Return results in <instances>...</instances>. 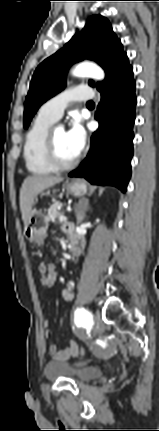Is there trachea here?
Returning a JSON list of instances; mask_svg holds the SVG:
<instances>
[{"label":"trachea","instance_id":"trachea-1","mask_svg":"<svg viewBox=\"0 0 159 431\" xmlns=\"http://www.w3.org/2000/svg\"><path fill=\"white\" fill-rule=\"evenodd\" d=\"M94 103H93V101H88L87 102V105H93Z\"/></svg>","mask_w":159,"mask_h":431}]
</instances>
